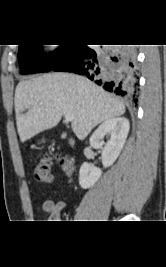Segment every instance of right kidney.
Instances as JSON below:
<instances>
[{
  "instance_id": "ca27d5eb",
  "label": "right kidney",
  "mask_w": 166,
  "mask_h": 267,
  "mask_svg": "<svg viewBox=\"0 0 166 267\" xmlns=\"http://www.w3.org/2000/svg\"><path fill=\"white\" fill-rule=\"evenodd\" d=\"M130 129L129 121L124 117H116L104 121L90 138L93 148L102 150V164L104 168L111 166L118 158ZM110 135L107 142L106 135ZM102 170L88 163H83L79 171V184L83 189L90 188L101 177Z\"/></svg>"
}]
</instances>
